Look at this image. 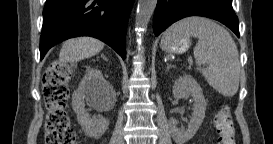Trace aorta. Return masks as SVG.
I'll return each mask as SVG.
<instances>
[{"mask_svg":"<svg viewBox=\"0 0 273 144\" xmlns=\"http://www.w3.org/2000/svg\"><path fill=\"white\" fill-rule=\"evenodd\" d=\"M157 0H138L135 31L141 36L147 29L148 23L154 13ZM142 51V50H141Z\"/></svg>","mask_w":273,"mask_h":144,"instance_id":"1","label":"aorta"}]
</instances>
